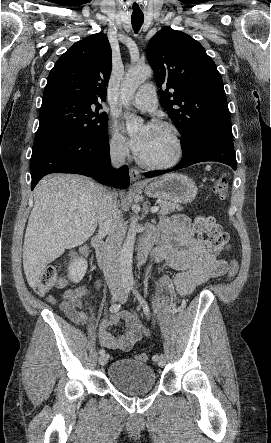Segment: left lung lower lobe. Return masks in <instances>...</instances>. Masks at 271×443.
Here are the masks:
<instances>
[{
	"mask_svg": "<svg viewBox=\"0 0 271 443\" xmlns=\"http://www.w3.org/2000/svg\"><path fill=\"white\" fill-rule=\"evenodd\" d=\"M182 150L183 157L176 167L150 171L145 173V176L155 177L204 161L221 162L229 165L233 170L237 168L231 128L206 127L194 134L191 137V143L182 146Z\"/></svg>",
	"mask_w": 271,
	"mask_h": 443,
	"instance_id": "obj_1",
	"label": "left lung lower lobe"
}]
</instances>
